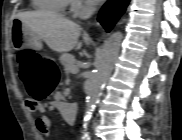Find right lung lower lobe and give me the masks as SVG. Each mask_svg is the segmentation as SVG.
<instances>
[{"instance_id":"right-lung-lower-lobe-1","label":"right lung lower lobe","mask_w":182,"mask_h":140,"mask_svg":"<svg viewBox=\"0 0 182 140\" xmlns=\"http://www.w3.org/2000/svg\"><path fill=\"white\" fill-rule=\"evenodd\" d=\"M129 0H108L102 7L98 21L109 32L125 12Z\"/></svg>"}]
</instances>
